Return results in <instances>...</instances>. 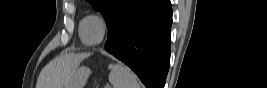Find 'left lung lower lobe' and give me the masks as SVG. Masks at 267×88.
I'll use <instances>...</instances> for the list:
<instances>
[{
  "instance_id": "left-lung-lower-lobe-1",
  "label": "left lung lower lobe",
  "mask_w": 267,
  "mask_h": 88,
  "mask_svg": "<svg viewBox=\"0 0 267 88\" xmlns=\"http://www.w3.org/2000/svg\"><path fill=\"white\" fill-rule=\"evenodd\" d=\"M171 24L169 0H134L108 30L105 50L127 64L147 88H164Z\"/></svg>"
}]
</instances>
